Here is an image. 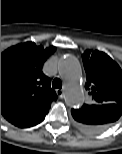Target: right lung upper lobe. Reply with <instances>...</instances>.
<instances>
[{
    "mask_svg": "<svg viewBox=\"0 0 122 154\" xmlns=\"http://www.w3.org/2000/svg\"><path fill=\"white\" fill-rule=\"evenodd\" d=\"M55 50L26 42L1 54V114L13 125L26 128L40 123L57 99L50 78L42 72Z\"/></svg>",
    "mask_w": 122,
    "mask_h": 154,
    "instance_id": "cb5924a9",
    "label": "right lung upper lobe"
}]
</instances>
